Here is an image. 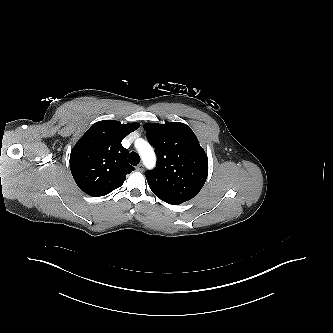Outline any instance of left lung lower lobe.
<instances>
[{
    "mask_svg": "<svg viewBox=\"0 0 333 333\" xmlns=\"http://www.w3.org/2000/svg\"><path fill=\"white\" fill-rule=\"evenodd\" d=\"M169 204H172V205H178V204H181V203H174V202H168Z\"/></svg>",
    "mask_w": 333,
    "mask_h": 333,
    "instance_id": "1",
    "label": "left lung lower lobe"
}]
</instances>
